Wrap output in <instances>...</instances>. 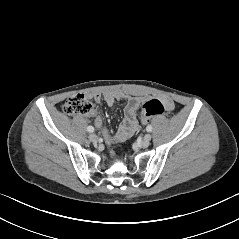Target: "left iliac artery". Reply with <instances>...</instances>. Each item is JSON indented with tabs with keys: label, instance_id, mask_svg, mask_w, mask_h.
<instances>
[{
	"label": "left iliac artery",
	"instance_id": "obj_1",
	"mask_svg": "<svg viewBox=\"0 0 239 239\" xmlns=\"http://www.w3.org/2000/svg\"><path fill=\"white\" fill-rule=\"evenodd\" d=\"M146 130H147L148 132H151V131H152V126H151V125H148V126L146 127Z\"/></svg>",
	"mask_w": 239,
	"mask_h": 239
}]
</instances>
